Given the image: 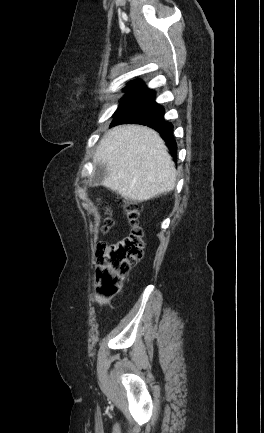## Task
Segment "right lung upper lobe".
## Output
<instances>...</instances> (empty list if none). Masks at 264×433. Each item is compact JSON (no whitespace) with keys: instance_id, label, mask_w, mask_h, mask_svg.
<instances>
[{"instance_id":"obj_1","label":"right lung upper lobe","mask_w":264,"mask_h":433,"mask_svg":"<svg viewBox=\"0 0 264 433\" xmlns=\"http://www.w3.org/2000/svg\"><path fill=\"white\" fill-rule=\"evenodd\" d=\"M129 86L125 88V91L128 93L132 91L140 90L144 87L143 82L141 80H133L129 82Z\"/></svg>"}]
</instances>
